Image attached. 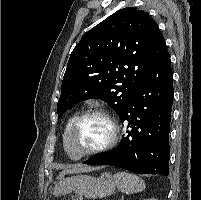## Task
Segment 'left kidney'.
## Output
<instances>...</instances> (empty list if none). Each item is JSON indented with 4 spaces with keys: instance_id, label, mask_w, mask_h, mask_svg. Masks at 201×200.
<instances>
[{
    "instance_id": "1",
    "label": "left kidney",
    "mask_w": 201,
    "mask_h": 200,
    "mask_svg": "<svg viewBox=\"0 0 201 200\" xmlns=\"http://www.w3.org/2000/svg\"><path fill=\"white\" fill-rule=\"evenodd\" d=\"M145 200H157V199H155V198H151V199H145Z\"/></svg>"
}]
</instances>
